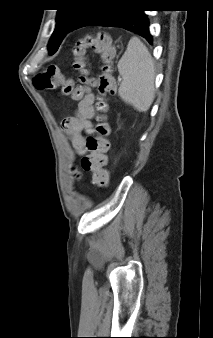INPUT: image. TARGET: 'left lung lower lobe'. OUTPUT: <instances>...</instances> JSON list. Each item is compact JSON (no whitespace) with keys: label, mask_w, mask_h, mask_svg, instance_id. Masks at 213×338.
I'll return each instance as SVG.
<instances>
[{"label":"left lung lower lobe","mask_w":213,"mask_h":338,"mask_svg":"<svg viewBox=\"0 0 213 338\" xmlns=\"http://www.w3.org/2000/svg\"><path fill=\"white\" fill-rule=\"evenodd\" d=\"M110 5L92 7L72 28L85 26L120 27L135 32L150 44L153 39L149 21L142 9H135L130 0H108Z\"/></svg>","instance_id":"0a47b994"}]
</instances>
